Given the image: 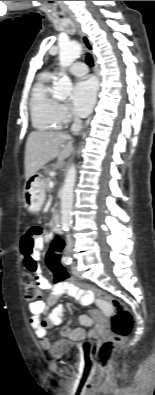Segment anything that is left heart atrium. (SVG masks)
Returning <instances> with one entry per match:
<instances>
[{"label":"left heart atrium","mask_w":155,"mask_h":395,"mask_svg":"<svg viewBox=\"0 0 155 395\" xmlns=\"http://www.w3.org/2000/svg\"><path fill=\"white\" fill-rule=\"evenodd\" d=\"M98 90L97 82L94 78L88 77L78 81L72 94V107L79 116H86L92 109Z\"/></svg>","instance_id":"left-heart-atrium-1"}]
</instances>
